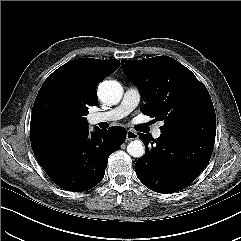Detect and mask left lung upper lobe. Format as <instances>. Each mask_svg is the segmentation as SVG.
I'll return each instance as SVG.
<instances>
[{
    "mask_svg": "<svg viewBox=\"0 0 241 241\" xmlns=\"http://www.w3.org/2000/svg\"><path fill=\"white\" fill-rule=\"evenodd\" d=\"M121 65L146 100L142 112L164 121L162 131L215 140L211 97L188 68L168 56L122 60Z\"/></svg>",
    "mask_w": 241,
    "mask_h": 241,
    "instance_id": "1",
    "label": "left lung upper lobe"
}]
</instances>
